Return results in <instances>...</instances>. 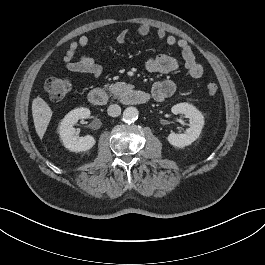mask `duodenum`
I'll return each mask as SVG.
<instances>
[{"mask_svg": "<svg viewBox=\"0 0 265 265\" xmlns=\"http://www.w3.org/2000/svg\"><path fill=\"white\" fill-rule=\"evenodd\" d=\"M88 100L94 106H104L109 101V95L105 90L96 88L89 92ZM121 100L128 105H144L149 102L150 95L143 90L130 88L123 93Z\"/></svg>", "mask_w": 265, "mask_h": 265, "instance_id": "obj_1", "label": "duodenum"}]
</instances>
